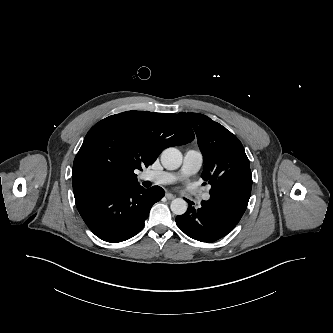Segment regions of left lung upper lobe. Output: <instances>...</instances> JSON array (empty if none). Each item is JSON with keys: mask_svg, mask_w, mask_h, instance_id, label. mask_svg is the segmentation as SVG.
I'll return each instance as SVG.
<instances>
[{"mask_svg": "<svg viewBox=\"0 0 333 333\" xmlns=\"http://www.w3.org/2000/svg\"><path fill=\"white\" fill-rule=\"evenodd\" d=\"M193 127L204 157L202 179L216 190L225 176L250 169L249 160L241 142L219 123L198 113H180ZM205 184V183H204Z\"/></svg>", "mask_w": 333, "mask_h": 333, "instance_id": "5c2ea615", "label": "left lung upper lobe"}]
</instances>
